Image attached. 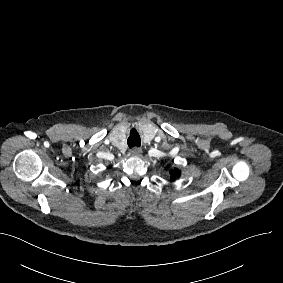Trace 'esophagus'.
Returning a JSON list of instances; mask_svg holds the SVG:
<instances>
[{
  "instance_id": "esophagus-1",
  "label": "esophagus",
  "mask_w": 283,
  "mask_h": 283,
  "mask_svg": "<svg viewBox=\"0 0 283 283\" xmlns=\"http://www.w3.org/2000/svg\"><path fill=\"white\" fill-rule=\"evenodd\" d=\"M130 153L133 157H141L142 156V149L139 147H134L130 150Z\"/></svg>"
}]
</instances>
